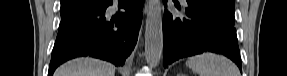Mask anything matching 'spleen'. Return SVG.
I'll return each instance as SVG.
<instances>
[{
  "mask_svg": "<svg viewBox=\"0 0 287 76\" xmlns=\"http://www.w3.org/2000/svg\"><path fill=\"white\" fill-rule=\"evenodd\" d=\"M186 65L199 76H239L237 66L224 56L202 54L190 57Z\"/></svg>",
  "mask_w": 287,
  "mask_h": 76,
  "instance_id": "spleen-1",
  "label": "spleen"
}]
</instances>
